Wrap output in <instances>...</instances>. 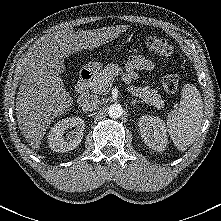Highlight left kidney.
Instances as JSON below:
<instances>
[{
    "instance_id": "left-kidney-1",
    "label": "left kidney",
    "mask_w": 221,
    "mask_h": 221,
    "mask_svg": "<svg viewBox=\"0 0 221 221\" xmlns=\"http://www.w3.org/2000/svg\"><path fill=\"white\" fill-rule=\"evenodd\" d=\"M138 126L144 143L157 152L164 151L167 146V133L162 119L153 116H142Z\"/></svg>"
}]
</instances>
